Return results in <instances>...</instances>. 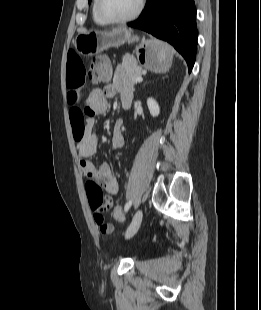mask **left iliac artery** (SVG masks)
<instances>
[{"label": "left iliac artery", "instance_id": "left-iliac-artery-1", "mask_svg": "<svg viewBox=\"0 0 261 310\" xmlns=\"http://www.w3.org/2000/svg\"><path fill=\"white\" fill-rule=\"evenodd\" d=\"M131 205H132V201H129V202L126 203V205H125V207H124L125 212H127V211L129 210V208L131 207Z\"/></svg>", "mask_w": 261, "mask_h": 310}]
</instances>
